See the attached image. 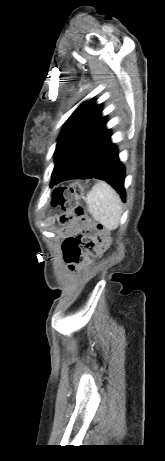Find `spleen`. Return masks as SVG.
I'll list each match as a JSON object with an SVG mask.
<instances>
[{
    "label": "spleen",
    "mask_w": 165,
    "mask_h": 461,
    "mask_svg": "<svg viewBox=\"0 0 165 461\" xmlns=\"http://www.w3.org/2000/svg\"><path fill=\"white\" fill-rule=\"evenodd\" d=\"M88 211L108 230L119 226L122 205L117 192L106 182L98 181L87 194Z\"/></svg>",
    "instance_id": "3e777b00"
}]
</instances>
